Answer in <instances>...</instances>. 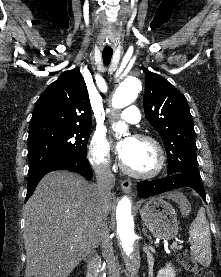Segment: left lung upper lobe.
I'll use <instances>...</instances> for the list:
<instances>
[{"instance_id":"5c2ea615","label":"left lung upper lobe","mask_w":221,"mask_h":277,"mask_svg":"<svg viewBox=\"0 0 221 277\" xmlns=\"http://www.w3.org/2000/svg\"><path fill=\"white\" fill-rule=\"evenodd\" d=\"M143 107L147 120L163 139L167 175L201 177L196 158L195 131L185 96L160 75L146 72Z\"/></svg>"}]
</instances>
